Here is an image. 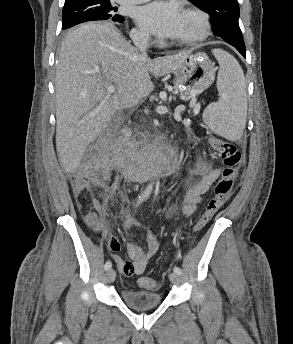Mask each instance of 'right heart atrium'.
<instances>
[{"instance_id":"d8ad5b80","label":"right heart atrium","mask_w":293,"mask_h":344,"mask_svg":"<svg viewBox=\"0 0 293 344\" xmlns=\"http://www.w3.org/2000/svg\"><path fill=\"white\" fill-rule=\"evenodd\" d=\"M132 38L135 41H140V42H148L150 40L149 36L145 32L137 30V29H134L132 31Z\"/></svg>"}]
</instances>
